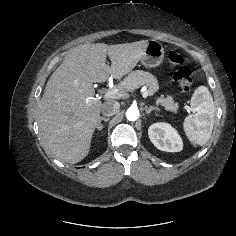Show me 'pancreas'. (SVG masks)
<instances>
[{"label":"pancreas","mask_w":236,"mask_h":236,"mask_svg":"<svg viewBox=\"0 0 236 236\" xmlns=\"http://www.w3.org/2000/svg\"><path fill=\"white\" fill-rule=\"evenodd\" d=\"M141 85L147 86L148 95H154L158 89L159 84L158 80L154 75L149 72L142 70H136L130 72L122 81L118 88L124 92L132 91L138 88ZM156 104L165 107L166 110L171 112H176L178 109V104L174 102V99L171 96H164L163 94L159 97H156Z\"/></svg>","instance_id":"cf45deb5"}]
</instances>
